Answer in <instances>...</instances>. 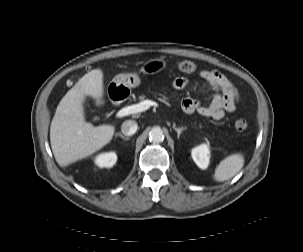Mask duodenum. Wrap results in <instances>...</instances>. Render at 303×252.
<instances>
[{
  "label": "duodenum",
  "instance_id": "410a0bca",
  "mask_svg": "<svg viewBox=\"0 0 303 252\" xmlns=\"http://www.w3.org/2000/svg\"><path fill=\"white\" fill-rule=\"evenodd\" d=\"M126 92V88L123 86H118L111 92L110 97L113 100L115 105L119 104L120 101L124 98Z\"/></svg>",
  "mask_w": 303,
  "mask_h": 252
}]
</instances>
